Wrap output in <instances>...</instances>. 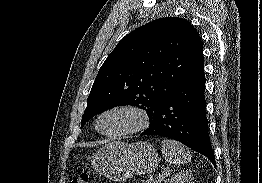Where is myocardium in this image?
<instances>
[{"label": "myocardium", "instance_id": "obj_1", "mask_svg": "<svg viewBox=\"0 0 262 183\" xmlns=\"http://www.w3.org/2000/svg\"><path fill=\"white\" fill-rule=\"evenodd\" d=\"M115 111L132 112L137 118L136 123L132 127L128 128L124 131H121V132H116V133H105V132H103L100 128V122H101L102 118L106 114H108L110 112H115ZM149 123H150V116H149V114H148V112L145 108L141 107L140 105L133 104V103H121V104L112 105V106L104 109L99 114V116L97 117V120H96V129L101 135H103L105 137L120 138V137H124V136L130 135V134L138 133L140 131L145 130L148 127Z\"/></svg>", "mask_w": 262, "mask_h": 183}]
</instances>
